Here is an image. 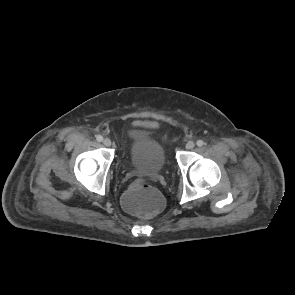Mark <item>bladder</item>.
<instances>
[{
  "mask_svg": "<svg viewBox=\"0 0 295 295\" xmlns=\"http://www.w3.org/2000/svg\"><path fill=\"white\" fill-rule=\"evenodd\" d=\"M125 161L134 166L162 170L168 163L164 131L159 126L140 124L126 133Z\"/></svg>",
  "mask_w": 295,
  "mask_h": 295,
  "instance_id": "obj_1",
  "label": "bladder"
}]
</instances>
